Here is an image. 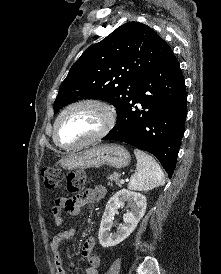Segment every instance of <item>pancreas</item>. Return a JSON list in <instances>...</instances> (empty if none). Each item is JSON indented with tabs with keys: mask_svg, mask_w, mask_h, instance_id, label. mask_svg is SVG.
Returning <instances> with one entry per match:
<instances>
[{
	"mask_svg": "<svg viewBox=\"0 0 221 274\" xmlns=\"http://www.w3.org/2000/svg\"><path fill=\"white\" fill-rule=\"evenodd\" d=\"M107 179L109 180L108 186H112L113 182H115L116 185L121 186V183L119 182L118 174L114 173V174L108 176Z\"/></svg>",
	"mask_w": 221,
	"mask_h": 274,
	"instance_id": "pancreas-1",
	"label": "pancreas"
}]
</instances>
